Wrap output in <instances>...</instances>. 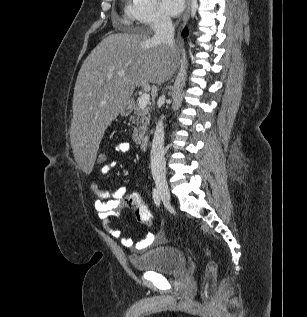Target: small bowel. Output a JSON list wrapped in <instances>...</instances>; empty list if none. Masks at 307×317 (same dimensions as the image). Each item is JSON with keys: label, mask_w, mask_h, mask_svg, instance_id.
Here are the masks:
<instances>
[{"label": "small bowel", "mask_w": 307, "mask_h": 317, "mask_svg": "<svg viewBox=\"0 0 307 317\" xmlns=\"http://www.w3.org/2000/svg\"><path fill=\"white\" fill-rule=\"evenodd\" d=\"M132 150L131 143L127 141H121L115 146L116 158L110 163L105 164L100 168V175H107L118 163L119 157L124 154H128ZM90 191L96 197L94 200V208L100 219L103 220L105 229L113 236L121 238V242L125 247L134 250H144L153 244L155 241V235L148 233L144 239L138 242H134L132 239L122 237L121 232L113 228L110 224L109 218L112 216H119L120 212L118 208L122 206L124 197L126 196L127 187L120 186L114 190L101 189L96 181L90 182Z\"/></svg>", "instance_id": "obj_1"}]
</instances>
